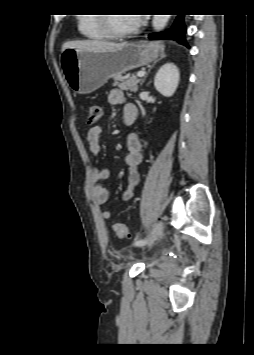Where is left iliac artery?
<instances>
[{
  "instance_id": "1",
  "label": "left iliac artery",
  "mask_w": 254,
  "mask_h": 355,
  "mask_svg": "<svg viewBox=\"0 0 254 355\" xmlns=\"http://www.w3.org/2000/svg\"><path fill=\"white\" fill-rule=\"evenodd\" d=\"M152 235H153V233H152ZM152 235H151V237H152ZM151 237H148V238H146V239H138V240H135V241H134V245H135V246H142V245L146 244V243L151 239Z\"/></svg>"
}]
</instances>
